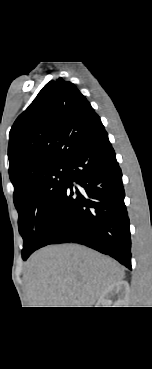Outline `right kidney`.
<instances>
[{"instance_id": "1", "label": "right kidney", "mask_w": 152, "mask_h": 369, "mask_svg": "<svg viewBox=\"0 0 152 369\" xmlns=\"http://www.w3.org/2000/svg\"><path fill=\"white\" fill-rule=\"evenodd\" d=\"M129 284L127 281L121 280L110 285L99 297L96 307H111L112 296H117V300L112 307H128Z\"/></svg>"}]
</instances>
